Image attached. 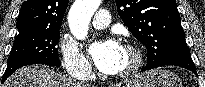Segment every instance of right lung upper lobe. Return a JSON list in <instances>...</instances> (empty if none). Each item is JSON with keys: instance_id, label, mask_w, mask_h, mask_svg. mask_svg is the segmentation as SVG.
<instances>
[{"instance_id": "right-lung-upper-lobe-1", "label": "right lung upper lobe", "mask_w": 205, "mask_h": 87, "mask_svg": "<svg viewBox=\"0 0 205 87\" xmlns=\"http://www.w3.org/2000/svg\"><path fill=\"white\" fill-rule=\"evenodd\" d=\"M69 0H26L17 19L18 31L60 29Z\"/></svg>"}]
</instances>
